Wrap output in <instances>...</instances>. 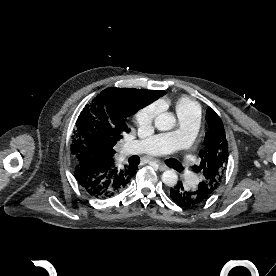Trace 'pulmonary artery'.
I'll use <instances>...</instances> for the list:
<instances>
[{
    "label": "pulmonary artery",
    "instance_id": "e3ab8cb5",
    "mask_svg": "<svg viewBox=\"0 0 276 276\" xmlns=\"http://www.w3.org/2000/svg\"><path fill=\"white\" fill-rule=\"evenodd\" d=\"M179 129L173 132L158 134L142 141H134L124 145L126 152L135 148L151 155L168 154L187 148L193 141L199 124L197 114L179 115ZM197 178H189L193 184Z\"/></svg>",
    "mask_w": 276,
    "mask_h": 276
}]
</instances>
